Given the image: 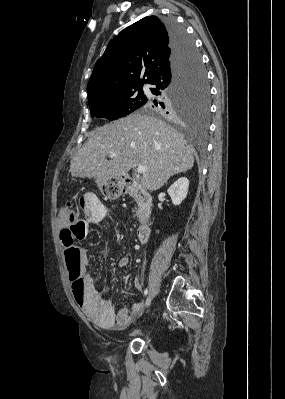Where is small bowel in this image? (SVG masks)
Wrapping results in <instances>:
<instances>
[{
	"mask_svg": "<svg viewBox=\"0 0 285 399\" xmlns=\"http://www.w3.org/2000/svg\"><path fill=\"white\" fill-rule=\"evenodd\" d=\"M84 204L81 212V217L78 218L79 233L82 238L88 235L89 226L100 223L105 219V207L95 195H86L84 197ZM129 259L123 257L119 261V266L124 267L128 264ZM66 265L71 271V265L66 260ZM88 268V254L85 251L80 252L79 256V273L84 282V291L76 294L75 290L71 288V294L75 302L83 309L87 317L98 326L105 329L120 330L127 327L135 316H139L143 312V304L141 302L133 303L129 307L120 309L115 312L110 301L103 298L97 290L92 276L87 273ZM134 285L137 289H141V282L139 279H134Z\"/></svg>",
	"mask_w": 285,
	"mask_h": 399,
	"instance_id": "c3829d8e",
	"label": "small bowel"
}]
</instances>
